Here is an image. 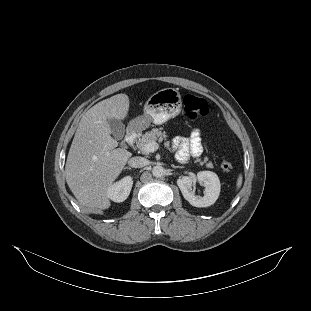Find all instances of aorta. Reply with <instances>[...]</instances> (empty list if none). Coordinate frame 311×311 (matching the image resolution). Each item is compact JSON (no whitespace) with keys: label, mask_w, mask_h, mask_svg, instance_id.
<instances>
[{"label":"aorta","mask_w":311,"mask_h":311,"mask_svg":"<svg viewBox=\"0 0 311 311\" xmlns=\"http://www.w3.org/2000/svg\"><path fill=\"white\" fill-rule=\"evenodd\" d=\"M152 175L156 178L162 177L165 175V168L160 165H156L152 168Z\"/></svg>","instance_id":"obj_1"}]
</instances>
